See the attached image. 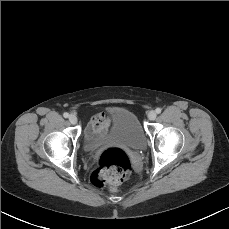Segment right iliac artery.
Masks as SVG:
<instances>
[{
	"instance_id": "obj_1",
	"label": "right iliac artery",
	"mask_w": 229,
	"mask_h": 229,
	"mask_svg": "<svg viewBox=\"0 0 229 229\" xmlns=\"http://www.w3.org/2000/svg\"><path fill=\"white\" fill-rule=\"evenodd\" d=\"M63 116H64L65 118H68V117H69V114H68L67 112H65V113L63 114Z\"/></svg>"
}]
</instances>
